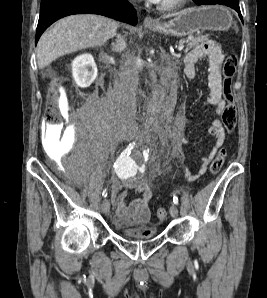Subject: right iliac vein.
<instances>
[{"mask_svg": "<svg viewBox=\"0 0 267 298\" xmlns=\"http://www.w3.org/2000/svg\"><path fill=\"white\" fill-rule=\"evenodd\" d=\"M110 209V202L108 199H104L101 203V210L103 213H108Z\"/></svg>", "mask_w": 267, "mask_h": 298, "instance_id": "63e3f726", "label": "right iliac vein"}]
</instances>
